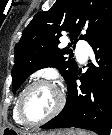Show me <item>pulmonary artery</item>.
Listing matches in <instances>:
<instances>
[{
  "label": "pulmonary artery",
  "instance_id": "1",
  "mask_svg": "<svg viewBox=\"0 0 112 135\" xmlns=\"http://www.w3.org/2000/svg\"><path fill=\"white\" fill-rule=\"evenodd\" d=\"M90 51L91 48L87 42L85 41L78 42L76 47V55L80 62L86 61Z\"/></svg>",
  "mask_w": 112,
  "mask_h": 135
}]
</instances>
